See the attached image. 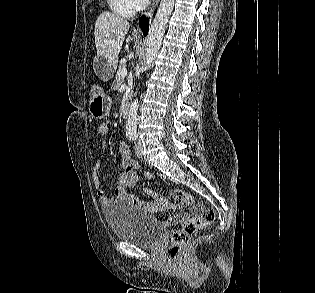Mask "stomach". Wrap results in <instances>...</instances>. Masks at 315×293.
I'll list each match as a JSON object with an SVG mask.
<instances>
[{
    "instance_id": "1",
    "label": "stomach",
    "mask_w": 315,
    "mask_h": 293,
    "mask_svg": "<svg viewBox=\"0 0 315 293\" xmlns=\"http://www.w3.org/2000/svg\"><path fill=\"white\" fill-rule=\"evenodd\" d=\"M89 112L93 118L105 117L111 106V99L103 92L102 88L93 86L90 91Z\"/></svg>"
}]
</instances>
